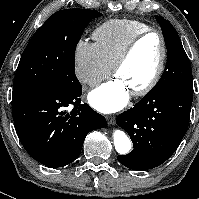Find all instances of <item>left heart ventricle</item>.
Wrapping results in <instances>:
<instances>
[{"label": "left heart ventricle", "mask_w": 199, "mask_h": 199, "mask_svg": "<svg viewBox=\"0 0 199 199\" xmlns=\"http://www.w3.org/2000/svg\"><path fill=\"white\" fill-rule=\"evenodd\" d=\"M160 55L161 44L158 36L149 35L138 43L116 76L132 92L150 80L157 68Z\"/></svg>", "instance_id": "b2bd125f"}]
</instances>
